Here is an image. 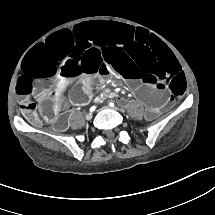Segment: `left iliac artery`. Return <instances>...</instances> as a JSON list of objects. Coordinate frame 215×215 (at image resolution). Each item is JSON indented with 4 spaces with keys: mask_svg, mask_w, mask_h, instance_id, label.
I'll list each match as a JSON object with an SVG mask.
<instances>
[{
    "mask_svg": "<svg viewBox=\"0 0 215 215\" xmlns=\"http://www.w3.org/2000/svg\"><path fill=\"white\" fill-rule=\"evenodd\" d=\"M109 105H110L111 107H114V103H113V102H110Z\"/></svg>",
    "mask_w": 215,
    "mask_h": 215,
    "instance_id": "left-iliac-artery-1",
    "label": "left iliac artery"
}]
</instances>
